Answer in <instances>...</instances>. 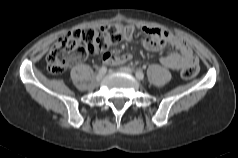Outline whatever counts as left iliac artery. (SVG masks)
<instances>
[{"instance_id":"obj_1","label":"left iliac artery","mask_w":238,"mask_h":158,"mask_svg":"<svg viewBox=\"0 0 238 158\" xmlns=\"http://www.w3.org/2000/svg\"><path fill=\"white\" fill-rule=\"evenodd\" d=\"M136 77L139 79V80H142L144 78V73L140 70H137L136 71Z\"/></svg>"}]
</instances>
